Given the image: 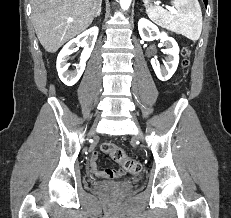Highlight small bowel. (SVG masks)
Returning <instances> with one entry per match:
<instances>
[{"mask_svg": "<svg viewBox=\"0 0 231 218\" xmlns=\"http://www.w3.org/2000/svg\"><path fill=\"white\" fill-rule=\"evenodd\" d=\"M99 154L98 152H93L90 158V167L92 172L98 177L104 178H117L124 175L125 171L121 168L118 169H101L98 166Z\"/></svg>", "mask_w": 231, "mask_h": 218, "instance_id": "small-bowel-1", "label": "small bowel"}]
</instances>
